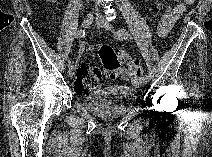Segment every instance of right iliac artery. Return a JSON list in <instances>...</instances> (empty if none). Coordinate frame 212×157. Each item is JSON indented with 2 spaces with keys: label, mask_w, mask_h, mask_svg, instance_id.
<instances>
[{
  "label": "right iliac artery",
  "mask_w": 212,
  "mask_h": 157,
  "mask_svg": "<svg viewBox=\"0 0 212 157\" xmlns=\"http://www.w3.org/2000/svg\"><path fill=\"white\" fill-rule=\"evenodd\" d=\"M84 36H85V31L84 30L77 31V33L75 35V37L78 38V39L79 38H83ZM68 66L69 67H72L73 66L71 61L68 62Z\"/></svg>",
  "instance_id": "1"
}]
</instances>
